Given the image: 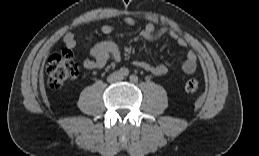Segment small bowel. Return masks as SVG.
<instances>
[{"mask_svg": "<svg viewBox=\"0 0 259 156\" xmlns=\"http://www.w3.org/2000/svg\"><path fill=\"white\" fill-rule=\"evenodd\" d=\"M123 22L130 27L136 25L135 19L130 16L124 17ZM101 32L105 35H111L114 33V27L110 24H105L101 27ZM141 36L149 42H155L163 36H169L176 40L179 46L185 47L187 45L186 40L180 37L175 31L165 28H156L151 22L145 25L141 31ZM63 41L69 49H74L77 43L75 35L71 32L64 35ZM90 56V58L83 61V65L87 69H102L109 60L116 62L120 60L119 49L111 40H105L94 45L90 50ZM133 64L154 75H164L170 70V67L165 64H151L145 61H134ZM196 67L197 56L194 51L190 50L181 65V69L184 73L191 74L195 71Z\"/></svg>", "mask_w": 259, "mask_h": 156, "instance_id": "obj_1", "label": "small bowel"}]
</instances>
